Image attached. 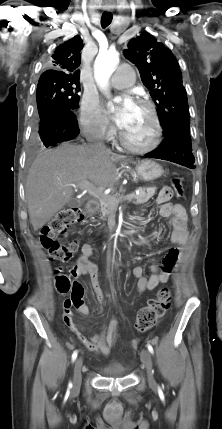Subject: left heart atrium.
Masks as SVG:
<instances>
[{
  "mask_svg": "<svg viewBox=\"0 0 222 429\" xmlns=\"http://www.w3.org/2000/svg\"><path fill=\"white\" fill-rule=\"evenodd\" d=\"M134 108L135 102L129 96H125L122 100L118 112L113 117L115 123L119 128L123 129L126 126Z\"/></svg>",
  "mask_w": 222,
  "mask_h": 429,
  "instance_id": "39dd6f15",
  "label": "left heart atrium"
}]
</instances>
